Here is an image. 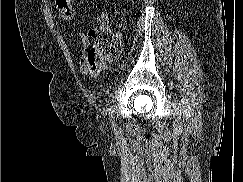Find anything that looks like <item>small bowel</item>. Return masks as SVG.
<instances>
[{"mask_svg":"<svg viewBox=\"0 0 243 182\" xmlns=\"http://www.w3.org/2000/svg\"><path fill=\"white\" fill-rule=\"evenodd\" d=\"M79 47H80V70L82 74L97 77L104 71H106L111 64V60L97 58L90 54L88 50V36L85 33L79 35Z\"/></svg>","mask_w":243,"mask_h":182,"instance_id":"obj_1","label":"small bowel"}]
</instances>
